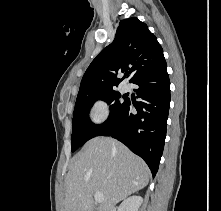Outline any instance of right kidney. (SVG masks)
Segmentation results:
<instances>
[{
  "label": "right kidney",
  "mask_w": 221,
  "mask_h": 211,
  "mask_svg": "<svg viewBox=\"0 0 221 211\" xmlns=\"http://www.w3.org/2000/svg\"><path fill=\"white\" fill-rule=\"evenodd\" d=\"M142 203L141 196H131L120 204L117 211H138Z\"/></svg>",
  "instance_id": "right-kidney-1"
}]
</instances>
